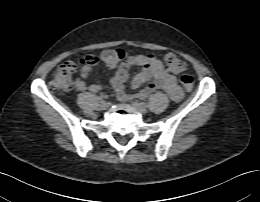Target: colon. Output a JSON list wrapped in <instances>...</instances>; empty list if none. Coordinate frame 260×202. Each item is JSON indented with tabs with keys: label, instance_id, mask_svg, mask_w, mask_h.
<instances>
[{
	"label": "colon",
	"instance_id": "5ec220e1",
	"mask_svg": "<svg viewBox=\"0 0 260 202\" xmlns=\"http://www.w3.org/2000/svg\"><path fill=\"white\" fill-rule=\"evenodd\" d=\"M124 55L125 53L122 49L110 48L101 53V59L108 67H115L124 58ZM95 64L96 58L91 55L65 62L53 74L49 82V88L58 92L71 91L73 88V77L84 69L92 70ZM164 65L168 71L173 73L187 71L186 63L173 53H168L164 56ZM180 83L186 91H191L194 87L193 77L187 74L181 76Z\"/></svg>",
	"mask_w": 260,
	"mask_h": 202
}]
</instances>
